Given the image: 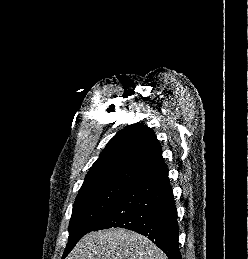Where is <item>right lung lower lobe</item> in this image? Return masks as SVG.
<instances>
[{
	"label": "right lung lower lobe",
	"instance_id": "right-lung-lower-lobe-1",
	"mask_svg": "<svg viewBox=\"0 0 248 259\" xmlns=\"http://www.w3.org/2000/svg\"><path fill=\"white\" fill-rule=\"evenodd\" d=\"M112 227L147 236L169 259H182L177 211L167 168L132 184L90 231Z\"/></svg>",
	"mask_w": 248,
	"mask_h": 259
}]
</instances>
